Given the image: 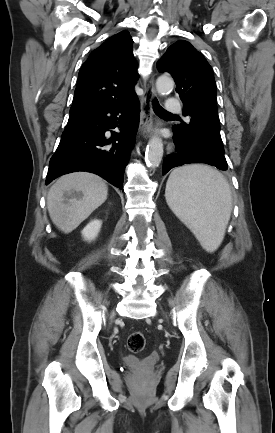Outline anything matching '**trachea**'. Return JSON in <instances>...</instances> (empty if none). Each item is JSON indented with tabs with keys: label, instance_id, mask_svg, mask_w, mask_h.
Wrapping results in <instances>:
<instances>
[{
	"label": "trachea",
	"instance_id": "3493384b",
	"mask_svg": "<svg viewBox=\"0 0 275 433\" xmlns=\"http://www.w3.org/2000/svg\"><path fill=\"white\" fill-rule=\"evenodd\" d=\"M154 110L156 113L158 114H162V115H168V116H173L176 117V115H173L171 113L166 112L159 104V102L155 99L154 100V104H153Z\"/></svg>",
	"mask_w": 275,
	"mask_h": 433
}]
</instances>
